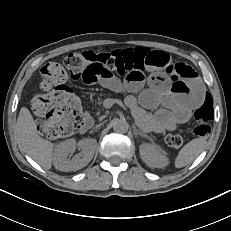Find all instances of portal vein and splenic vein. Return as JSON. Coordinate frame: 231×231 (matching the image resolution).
Masks as SVG:
<instances>
[{
  "mask_svg": "<svg viewBox=\"0 0 231 231\" xmlns=\"http://www.w3.org/2000/svg\"><path fill=\"white\" fill-rule=\"evenodd\" d=\"M117 101L116 100H113V99H105L104 102H103V106L104 108L106 109H109L113 106L114 103H116ZM123 106V105H122ZM124 107V106H123Z\"/></svg>",
  "mask_w": 231,
  "mask_h": 231,
  "instance_id": "portal-vein-and-splenic-vein-1",
  "label": "portal vein and splenic vein"
}]
</instances>
